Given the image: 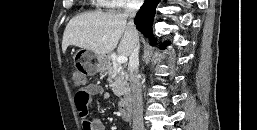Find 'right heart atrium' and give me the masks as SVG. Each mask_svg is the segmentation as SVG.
<instances>
[{"instance_id": "right-heart-atrium-1", "label": "right heart atrium", "mask_w": 257, "mask_h": 130, "mask_svg": "<svg viewBox=\"0 0 257 130\" xmlns=\"http://www.w3.org/2000/svg\"><path fill=\"white\" fill-rule=\"evenodd\" d=\"M101 5L106 8H128L139 5L142 0H101Z\"/></svg>"}]
</instances>
